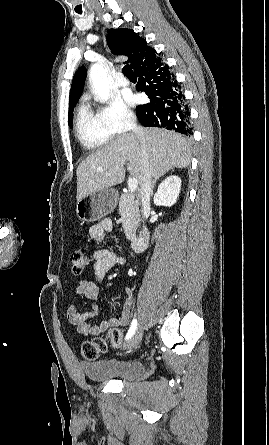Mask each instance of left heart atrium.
Masks as SVG:
<instances>
[{"instance_id": "39dd6f15", "label": "left heart atrium", "mask_w": 269, "mask_h": 445, "mask_svg": "<svg viewBox=\"0 0 269 445\" xmlns=\"http://www.w3.org/2000/svg\"><path fill=\"white\" fill-rule=\"evenodd\" d=\"M125 98L130 104H133L136 101L135 97L130 94L126 95Z\"/></svg>"}]
</instances>
